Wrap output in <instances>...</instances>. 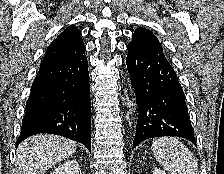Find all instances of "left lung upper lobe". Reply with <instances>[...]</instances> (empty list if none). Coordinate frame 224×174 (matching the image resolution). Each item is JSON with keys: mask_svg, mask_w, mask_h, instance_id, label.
<instances>
[{"mask_svg": "<svg viewBox=\"0 0 224 174\" xmlns=\"http://www.w3.org/2000/svg\"><path fill=\"white\" fill-rule=\"evenodd\" d=\"M128 46L138 47V48H158L162 49L160 42L155 35L147 30L146 28L140 27L134 31L132 35V41Z\"/></svg>", "mask_w": 224, "mask_h": 174, "instance_id": "5c2ea615", "label": "left lung upper lobe"}]
</instances>
